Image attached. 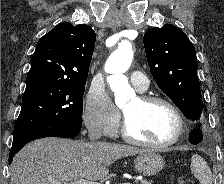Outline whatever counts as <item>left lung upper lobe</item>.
<instances>
[{
  "label": "left lung upper lobe",
  "mask_w": 224,
  "mask_h": 184,
  "mask_svg": "<svg viewBox=\"0 0 224 184\" xmlns=\"http://www.w3.org/2000/svg\"><path fill=\"white\" fill-rule=\"evenodd\" d=\"M150 71L160 89L193 122L203 110L195 48L186 34L171 24L144 35Z\"/></svg>",
  "instance_id": "obj_1"
}]
</instances>
